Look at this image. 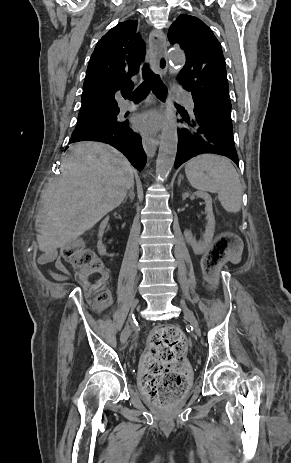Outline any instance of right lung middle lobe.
<instances>
[{
    "label": "right lung middle lobe",
    "instance_id": "obj_1",
    "mask_svg": "<svg viewBox=\"0 0 291 463\" xmlns=\"http://www.w3.org/2000/svg\"><path fill=\"white\" fill-rule=\"evenodd\" d=\"M118 112L119 111L107 112L91 118L78 119L77 126L73 134L88 131L96 127L118 124Z\"/></svg>",
    "mask_w": 291,
    "mask_h": 463
}]
</instances>
